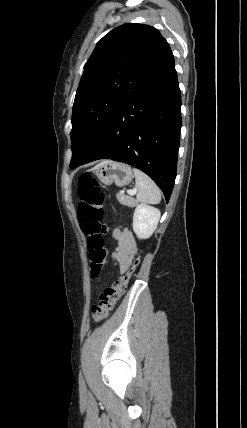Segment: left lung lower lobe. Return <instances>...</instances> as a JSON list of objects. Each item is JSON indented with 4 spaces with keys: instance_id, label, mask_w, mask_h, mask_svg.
Listing matches in <instances>:
<instances>
[{
    "instance_id": "0a47b994",
    "label": "left lung lower lobe",
    "mask_w": 247,
    "mask_h": 428,
    "mask_svg": "<svg viewBox=\"0 0 247 428\" xmlns=\"http://www.w3.org/2000/svg\"><path fill=\"white\" fill-rule=\"evenodd\" d=\"M181 94L172 56L117 108L97 143L79 165L112 159L153 179L169 201L177 171Z\"/></svg>"
}]
</instances>
